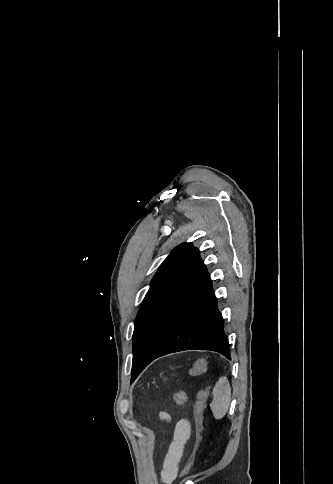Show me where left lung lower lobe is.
Segmentation results:
<instances>
[{
	"label": "left lung lower lobe",
	"instance_id": "left-lung-lower-lobe-1",
	"mask_svg": "<svg viewBox=\"0 0 333 484\" xmlns=\"http://www.w3.org/2000/svg\"><path fill=\"white\" fill-rule=\"evenodd\" d=\"M212 281L199 255L185 264L148 315L133 349V367L183 350H212L230 359ZM133 379L131 382H133Z\"/></svg>",
	"mask_w": 333,
	"mask_h": 484
}]
</instances>
